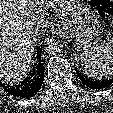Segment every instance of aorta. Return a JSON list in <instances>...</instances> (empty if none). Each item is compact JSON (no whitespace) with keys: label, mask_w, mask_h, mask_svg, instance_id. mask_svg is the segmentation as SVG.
<instances>
[{"label":"aorta","mask_w":113,"mask_h":113,"mask_svg":"<svg viewBox=\"0 0 113 113\" xmlns=\"http://www.w3.org/2000/svg\"><path fill=\"white\" fill-rule=\"evenodd\" d=\"M63 48L62 40L56 37L47 38L45 41V50L48 53H58Z\"/></svg>","instance_id":"aorta-1"}]
</instances>
